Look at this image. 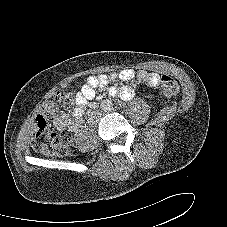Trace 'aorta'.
I'll return each mask as SVG.
<instances>
[{"mask_svg":"<svg viewBox=\"0 0 227 227\" xmlns=\"http://www.w3.org/2000/svg\"><path fill=\"white\" fill-rule=\"evenodd\" d=\"M112 102L110 100H104L102 101L101 108L103 111L107 112L112 109Z\"/></svg>","mask_w":227,"mask_h":227,"instance_id":"1","label":"aorta"}]
</instances>
